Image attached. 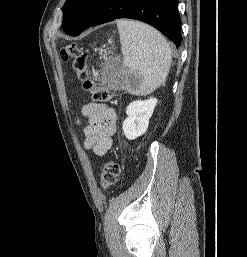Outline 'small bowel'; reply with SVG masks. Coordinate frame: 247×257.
<instances>
[{
	"label": "small bowel",
	"mask_w": 247,
	"mask_h": 257,
	"mask_svg": "<svg viewBox=\"0 0 247 257\" xmlns=\"http://www.w3.org/2000/svg\"><path fill=\"white\" fill-rule=\"evenodd\" d=\"M82 113L88 119V124L83 128L85 150L105 156L112 147V136L116 131L115 110L104 104L87 103Z\"/></svg>",
	"instance_id": "obj_1"
}]
</instances>
